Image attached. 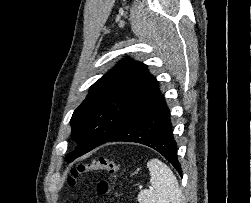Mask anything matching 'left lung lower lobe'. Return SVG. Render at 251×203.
<instances>
[{"instance_id": "left-lung-lower-lobe-1", "label": "left lung lower lobe", "mask_w": 251, "mask_h": 203, "mask_svg": "<svg viewBox=\"0 0 251 203\" xmlns=\"http://www.w3.org/2000/svg\"><path fill=\"white\" fill-rule=\"evenodd\" d=\"M111 141L135 142L149 146L163 155L181 175L170 112L161 93L150 106L108 140Z\"/></svg>"}]
</instances>
